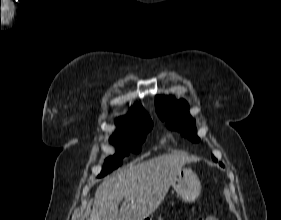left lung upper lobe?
Instances as JSON below:
<instances>
[{"mask_svg": "<svg viewBox=\"0 0 281 220\" xmlns=\"http://www.w3.org/2000/svg\"><path fill=\"white\" fill-rule=\"evenodd\" d=\"M155 105L157 113L162 120L165 119L167 127L180 130L183 136L193 142L199 141L195 120L190 116L185 100L176 101L172 96H157ZM213 160L217 162L215 157ZM219 164L224 167L221 162Z\"/></svg>", "mask_w": 281, "mask_h": 220, "instance_id": "obj_1", "label": "left lung upper lobe"}]
</instances>
